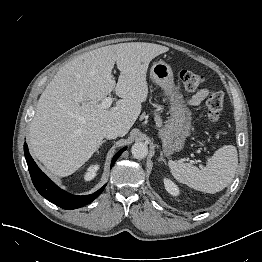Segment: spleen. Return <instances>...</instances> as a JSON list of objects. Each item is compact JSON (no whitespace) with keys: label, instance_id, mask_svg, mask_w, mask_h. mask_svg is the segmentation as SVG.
Instances as JSON below:
<instances>
[{"label":"spleen","instance_id":"3e777b00","mask_svg":"<svg viewBox=\"0 0 262 262\" xmlns=\"http://www.w3.org/2000/svg\"><path fill=\"white\" fill-rule=\"evenodd\" d=\"M237 163L236 148L225 145L207 160V165L202 169L182 161L170 160L168 165L178 182L195 190L214 194L223 190L233 180Z\"/></svg>","mask_w":262,"mask_h":262}]
</instances>
